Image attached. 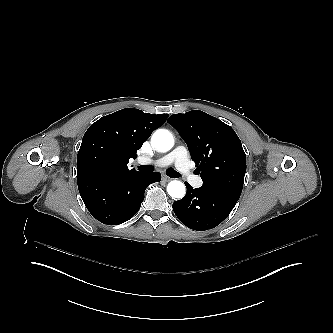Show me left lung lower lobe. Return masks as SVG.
Here are the masks:
<instances>
[{"label":"left lung lower lobe","instance_id":"left-lung-lower-lobe-1","mask_svg":"<svg viewBox=\"0 0 333 333\" xmlns=\"http://www.w3.org/2000/svg\"><path fill=\"white\" fill-rule=\"evenodd\" d=\"M185 185L187 193L183 199L173 203V210L184 225L197 231L219 225L228 217L240 197V194L232 191L204 187L193 189L187 182Z\"/></svg>","mask_w":333,"mask_h":333}]
</instances>
